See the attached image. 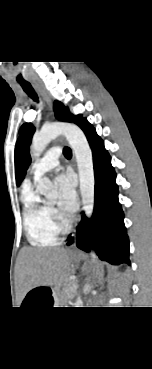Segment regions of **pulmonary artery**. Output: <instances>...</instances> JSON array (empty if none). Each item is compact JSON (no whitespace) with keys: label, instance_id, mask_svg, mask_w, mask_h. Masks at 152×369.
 Returning a JSON list of instances; mask_svg holds the SVG:
<instances>
[{"label":"pulmonary artery","instance_id":"e3ab8cb5","mask_svg":"<svg viewBox=\"0 0 152 369\" xmlns=\"http://www.w3.org/2000/svg\"><path fill=\"white\" fill-rule=\"evenodd\" d=\"M60 154V149L58 147H53L49 149L42 158L36 161L31 170L33 179L37 180L54 169L59 164L58 158Z\"/></svg>","mask_w":152,"mask_h":369}]
</instances>
